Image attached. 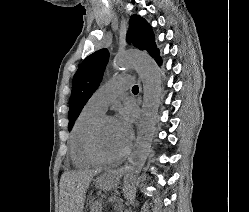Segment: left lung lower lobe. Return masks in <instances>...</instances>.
Returning a JSON list of instances; mask_svg holds the SVG:
<instances>
[{
  "instance_id": "0a47b994",
  "label": "left lung lower lobe",
  "mask_w": 249,
  "mask_h": 212,
  "mask_svg": "<svg viewBox=\"0 0 249 212\" xmlns=\"http://www.w3.org/2000/svg\"><path fill=\"white\" fill-rule=\"evenodd\" d=\"M155 60L161 64V57L159 56V53L155 56Z\"/></svg>"
}]
</instances>
